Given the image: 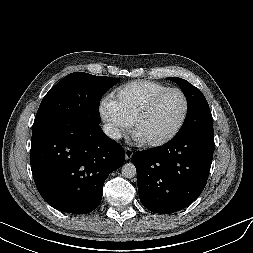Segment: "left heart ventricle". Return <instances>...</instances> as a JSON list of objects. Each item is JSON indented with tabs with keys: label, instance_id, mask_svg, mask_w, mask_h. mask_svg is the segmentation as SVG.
<instances>
[{
	"label": "left heart ventricle",
	"instance_id": "b2bd125f",
	"mask_svg": "<svg viewBox=\"0 0 253 253\" xmlns=\"http://www.w3.org/2000/svg\"><path fill=\"white\" fill-rule=\"evenodd\" d=\"M184 110L182 96L171 92L163 96L140 125L137 135L143 140L166 136L178 124Z\"/></svg>",
	"mask_w": 253,
	"mask_h": 253
}]
</instances>
